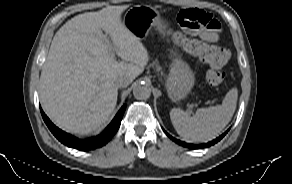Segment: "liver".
<instances>
[{
    "label": "liver",
    "mask_w": 292,
    "mask_h": 184,
    "mask_svg": "<svg viewBox=\"0 0 292 184\" xmlns=\"http://www.w3.org/2000/svg\"><path fill=\"white\" fill-rule=\"evenodd\" d=\"M126 8L110 6L79 14L55 34L42 67L39 95L44 111L59 128L80 134L97 129L116 106L117 79L132 82L147 65V49L121 21ZM115 54L123 61L117 62Z\"/></svg>",
    "instance_id": "obj_1"
}]
</instances>
